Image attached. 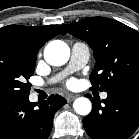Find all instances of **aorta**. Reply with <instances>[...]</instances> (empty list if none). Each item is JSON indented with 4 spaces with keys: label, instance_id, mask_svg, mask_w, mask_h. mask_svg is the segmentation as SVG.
<instances>
[{
    "label": "aorta",
    "instance_id": "1",
    "mask_svg": "<svg viewBox=\"0 0 139 139\" xmlns=\"http://www.w3.org/2000/svg\"><path fill=\"white\" fill-rule=\"evenodd\" d=\"M70 57L68 45L60 40H54L48 43L44 49V58L52 66L64 65ZM75 112L86 116L91 112V101L86 97H79L73 103Z\"/></svg>",
    "mask_w": 139,
    "mask_h": 139
}]
</instances>
